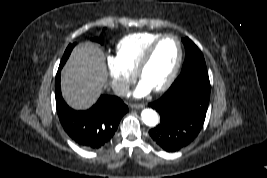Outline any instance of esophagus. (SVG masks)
Listing matches in <instances>:
<instances>
[{"mask_svg": "<svg viewBox=\"0 0 267 178\" xmlns=\"http://www.w3.org/2000/svg\"><path fill=\"white\" fill-rule=\"evenodd\" d=\"M130 107L133 109H141V108H144L145 105L144 104H131Z\"/></svg>", "mask_w": 267, "mask_h": 178, "instance_id": "esophagus-1", "label": "esophagus"}]
</instances>
